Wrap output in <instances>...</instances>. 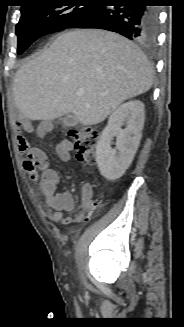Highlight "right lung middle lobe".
I'll return each mask as SVG.
<instances>
[{"mask_svg": "<svg viewBox=\"0 0 184 327\" xmlns=\"http://www.w3.org/2000/svg\"><path fill=\"white\" fill-rule=\"evenodd\" d=\"M43 1L21 10L16 26L18 54H22L32 42L41 36L71 27L81 20L94 6L43 5Z\"/></svg>", "mask_w": 184, "mask_h": 327, "instance_id": "obj_1", "label": "right lung middle lobe"}]
</instances>
